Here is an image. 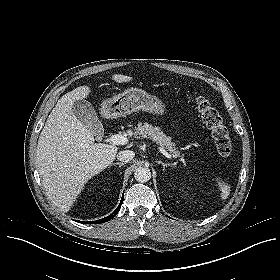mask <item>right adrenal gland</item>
Returning <instances> with one entry per match:
<instances>
[{
    "mask_svg": "<svg viewBox=\"0 0 280 280\" xmlns=\"http://www.w3.org/2000/svg\"><path fill=\"white\" fill-rule=\"evenodd\" d=\"M113 165H118L119 167H121L124 165V163L116 162V163H113Z\"/></svg>",
    "mask_w": 280,
    "mask_h": 280,
    "instance_id": "obj_1",
    "label": "right adrenal gland"
}]
</instances>
